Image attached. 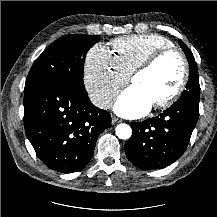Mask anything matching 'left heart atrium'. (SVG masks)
<instances>
[{
    "label": "left heart atrium",
    "mask_w": 217,
    "mask_h": 217,
    "mask_svg": "<svg viewBox=\"0 0 217 217\" xmlns=\"http://www.w3.org/2000/svg\"><path fill=\"white\" fill-rule=\"evenodd\" d=\"M153 103L135 85L125 89L116 99L114 110L121 116L137 118L146 114Z\"/></svg>",
    "instance_id": "39dd6f15"
}]
</instances>
